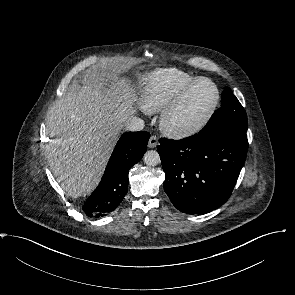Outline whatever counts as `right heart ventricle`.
Listing matches in <instances>:
<instances>
[{
  "label": "right heart ventricle",
  "instance_id": "obj_1",
  "mask_svg": "<svg viewBox=\"0 0 295 295\" xmlns=\"http://www.w3.org/2000/svg\"><path fill=\"white\" fill-rule=\"evenodd\" d=\"M191 76L177 69L158 70L143 79L142 103L149 112L166 108L174 98L193 80Z\"/></svg>",
  "mask_w": 295,
  "mask_h": 295
}]
</instances>
